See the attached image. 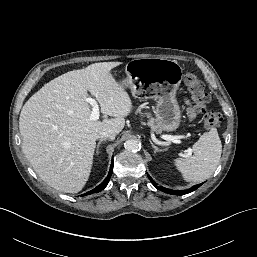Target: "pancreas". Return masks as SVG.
I'll return each mask as SVG.
<instances>
[{
    "label": "pancreas",
    "mask_w": 257,
    "mask_h": 257,
    "mask_svg": "<svg viewBox=\"0 0 257 257\" xmlns=\"http://www.w3.org/2000/svg\"><path fill=\"white\" fill-rule=\"evenodd\" d=\"M147 115V117L149 118L150 117V114L149 113H145ZM149 126L153 129H155L156 131L158 132H161V129L159 128V126L157 125L156 121L153 119V118H150L149 119V122H148Z\"/></svg>",
    "instance_id": "pancreas-1"
}]
</instances>
